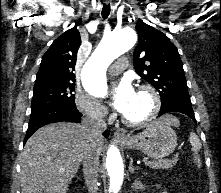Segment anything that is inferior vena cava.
Listing matches in <instances>:
<instances>
[{
    "label": "inferior vena cava",
    "instance_id": "inferior-vena-cava-1",
    "mask_svg": "<svg viewBox=\"0 0 221 193\" xmlns=\"http://www.w3.org/2000/svg\"><path fill=\"white\" fill-rule=\"evenodd\" d=\"M82 129L86 132V146L82 155L83 172L89 193H97L99 172V152L97 143L102 138V133L107 125L103 113L90 112L82 120Z\"/></svg>",
    "mask_w": 221,
    "mask_h": 193
}]
</instances>
